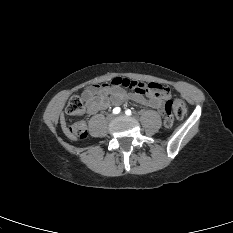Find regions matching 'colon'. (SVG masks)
Returning <instances> with one entry per match:
<instances>
[{"instance_id": "obj_1", "label": "colon", "mask_w": 233, "mask_h": 233, "mask_svg": "<svg viewBox=\"0 0 233 233\" xmlns=\"http://www.w3.org/2000/svg\"><path fill=\"white\" fill-rule=\"evenodd\" d=\"M110 84H119L124 88H128L134 91H158L159 87L155 85L145 86L141 82L120 79L112 80ZM85 111V105L81 97L74 95L68 101L66 106V113L71 116H78ZM187 113V107L185 103L179 99H168L165 103V117L164 125L171 127L174 124V118L182 119ZM67 133L70 137L77 139H84L87 137V127L83 121H77L71 123L67 128Z\"/></svg>"}]
</instances>
